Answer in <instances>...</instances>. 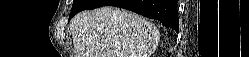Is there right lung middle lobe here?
<instances>
[{"label":"right lung middle lobe","instance_id":"dd1d6c3e","mask_svg":"<svg viewBox=\"0 0 249 57\" xmlns=\"http://www.w3.org/2000/svg\"><path fill=\"white\" fill-rule=\"evenodd\" d=\"M91 0H74L71 10V15L74 12L81 11L82 9H85L90 4Z\"/></svg>","mask_w":249,"mask_h":57}]
</instances>
